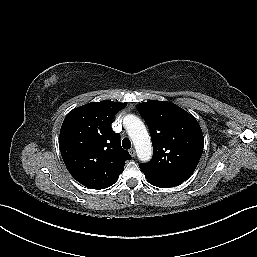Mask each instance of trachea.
<instances>
[{
	"label": "trachea",
	"instance_id": "3493384b",
	"mask_svg": "<svg viewBox=\"0 0 257 257\" xmlns=\"http://www.w3.org/2000/svg\"><path fill=\"white\" fill-rule=\"evenodd\" d=\"M122 147L124 149H130L131 148V141L128 138H124L122 140Z\"/></svg>",
	"mask_w": 257,
	"mask_h": 257
}]
</instances>
